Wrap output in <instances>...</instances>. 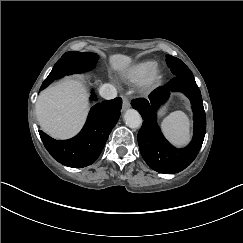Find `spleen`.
<instances>
[{"label": "spleen", "instance_id": "3e777b00", "mask_svg": "<svg viewBox=\"0 0 243 243\" xmlns=\"http://www.w3.org/2000/svg\"><path fill=\"white\" fill-rule=\"evenodd\" d=\"M165 137L176 147H184L190 142V121L182 111L168 115L161 123Z\"/></svg>", "mask_w": 243, "mask_h": 243}]
</instances>
